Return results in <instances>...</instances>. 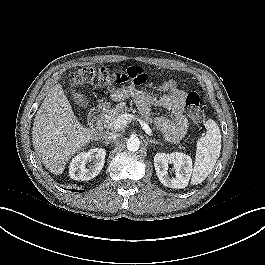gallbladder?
Instances as JSON below:
<instances>
[{"instance_id": "1", "label": "gallbladder", "mask_w": 265, "mask_h": 265, "mask_svg": "<svg viewBox=\"0 0 265 265\" xmlns=\"http://www.w3.org/2000/svg\"><path fill=\"white\" fill-rule=\"evenodd\" d=\"M72 95V100L79 106L86 107L88 105L87 97L80 92H76L73 85H70L69 89Z\"/></svg>"}]
</instances>
